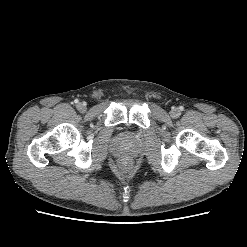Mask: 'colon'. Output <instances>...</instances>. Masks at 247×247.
Listing matches in <instances>:
<instances>
[{
	"label": "colon",
	"mask_w": 247,
	"mask_h": 247,
	"mask_svg": "<svg viewBox=\"0 0 247 247\" xmlns=\"http://www.w3.org/2000/svg\"><path fill=\"white\" fill-rule=\"evenodd\" d=\"M129 166H130V164H129V162L126 161V160L120 161V162H119V165H118L119 170L122 171V172L128 170Z\"/></svg>",
	"instance_id": "5ec220e1"
}]
</instances>
